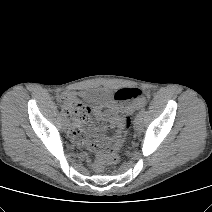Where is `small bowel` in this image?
I'll use <instances>...</instances> for the list:
<instances>
[{
  "label": "small bowel",
  "instance_id": "1",
  "mask_svg": "<svg viewBox=\"0 0 212 212\" xmlns=\"http://www.w3.org/2000/svg\"><path fill=\"white\" fill-rule=\"evenodd\" d=\"M78 95L90 103L91 108L88 107L86 115L74 118V126L70 130V135L76 142L87 144L90 148L98 150L103 142L100 133L106 130V125L91 124L90 114H94L99 121L105 124H113L124 107L113 101L107 91H82Z\"/></svg>",
  "mask_w": 212,
  "mask_h": 212
}]
</instances>
